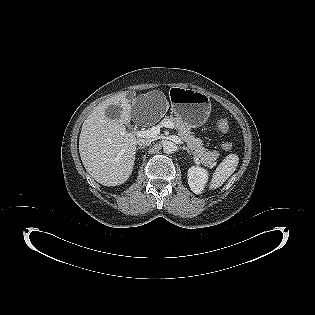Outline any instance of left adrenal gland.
Listing matches in <instances>:
<instances>
[{"label":"left adrenal gland","mask_w":315,"mask_h":315,"mask_svg":"<svg viewBox=\"0 0 315 315\" xmlns=\"http://www.w3.org/2000/svg\"><path fill=\"white\" fill-rule=\"evenodd\" d=\"M182 150H185L189 155H191V153H190V151H189V149L187 147L182 146Z\"/></svg>","instance_id":"left-adrenal-gland-1"}]
</instances>
